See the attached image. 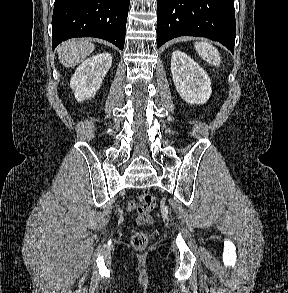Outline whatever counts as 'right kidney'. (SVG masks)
I'll list each match as a JSON object with an SVG mask.
<instances>
[{
    "mask_svg": "<svg viewBox=\"0 0 288 293\" xmlns=\"http://www.w3.org/2000/svg\"><path fill=\"white\" fill-rule=\"evenodd\" d=\"M111 65V55L101 53L88 58L76 69L70 87L78 102L94 97Z\"/></svg>",
    "mask_w": 288,
    "mask_h": 293,
    "instance_id": "obj_1",
    "label": "right kidney"
}]
</instances>
